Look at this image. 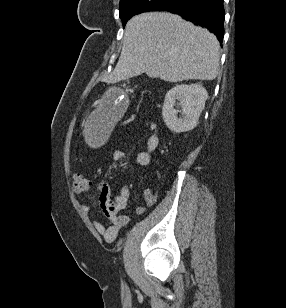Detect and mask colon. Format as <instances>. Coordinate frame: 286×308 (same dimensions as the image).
<instances>
[{
	"label": "colon",
	"instance_id": "1",
	"mask_svg": "<svg viewBox=\"0 0 286 308\" xmlns=\"http://www.w3.org/2000/svg\"><path fill=\"white\" fill-rule=\"evenodd\" d=\"M72 188L76 193L85 192L90 188V181L85 175L81 173H75L73 175Z\"/></svg>",
	"mask_w": 286,
	"mask_h": 308
}]
</instances>
